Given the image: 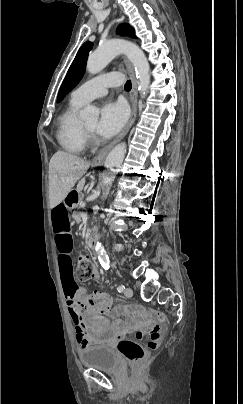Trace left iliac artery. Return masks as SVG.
I'll return each instance as SVG.
<instances>
[{"label": "left iliac artery", "mask_w": 243, "mask_h": 404, "mask_svg": "<svg viewBox=\"0 0 243 404\" xmlns=\"http://www.w3.org/2000/svg\"><path fill=\"white\" fill-rule=\"evenodd\" d=\"M125 290V286L124 285H119L118 287H117V291L118 292H123Z\"/></svg>", "instance_id": "obj_1"}]
</instances>
